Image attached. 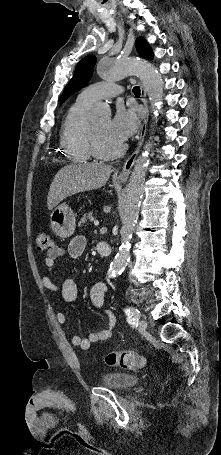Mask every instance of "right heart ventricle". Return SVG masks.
<instances>
[{
    "mask_svg": "<svg viewBox=\"0 0 221 455\" xmlns=\"http://www.w3.org/2000/svg\"><path fill=\"white\" fill-rule=\"evenodd\" d=\"M91 105L78 96L62 123L60 147L63 154L75 163L86 162L93 156L89 146L90 123L87 120Z\"/></svg>",
    "mask_w": 221,
    "mask_h": 455,
    "instance_id": "1",
    "label": "right heart ventricle"
}]
</instances>
